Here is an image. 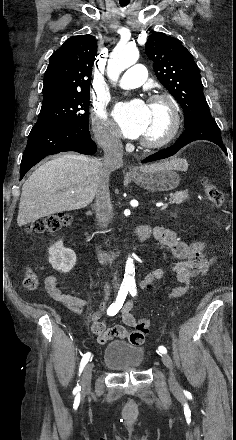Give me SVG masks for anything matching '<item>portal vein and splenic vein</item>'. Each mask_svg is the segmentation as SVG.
<instances>
[{
  "instance_id": "1",
  "label": "portal vein and splenic vein",
  "mask_w": 236,
  "mask_h": 440,
  "mask_svg": "<svg viewBox=\"0 0 236 440\" xmlns=\"http://www.w3.org/2000/svg\"><path fill=\"white\" fill-rule=\"evenodd\" d=\"M167 206H168V204H162L160 209L165 210L167 208Z\"/></svg>"
}]
</instances>
